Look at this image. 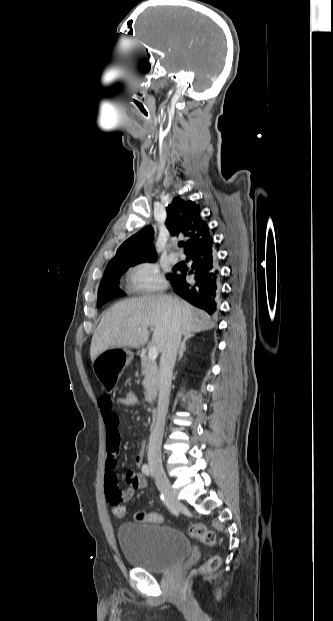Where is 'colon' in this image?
<instances>
[{"instance_id":"colon-1","label":"colon","mask_w":333,"mask_h":621,"mask_svg":"<svg viewBox=\"0 0 333 621\" xmlns=\"http://www.w3.org/2000/svg\"><path fill=\"white\" fill-rule=\"evenodd\" d=\"M140 399L138 393L134 389L127 390L121 397V404L128 408H133L139 405ZM114 515L121 517L125 513V509L123 506H116L113 508ZM135 520L138 522H148V523H162L163 518L161 515L156 513H145L139 511L135 514ZM190 536L201 540L204 544L212 546L216 543V535L214 531L207 528L206 526L193 524L189 527L188 530ZM220 565V558L218 556H212L209 558L202 566L199 567L194 573L199 574H209L218 569ZM181 597L183 600L187 597V588L184 587L181 592Z\"/></svg>"}]
</instances>
